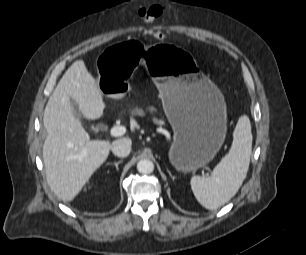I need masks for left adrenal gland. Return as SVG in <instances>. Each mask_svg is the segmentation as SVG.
I'll return each instance as SVG.
<instances>
[{
  "label": "left adrenal gland",
  "mask_w": 306,
  "mask_h": 255,
  "mask_svg": "<svg viewBox=\"0 0 306 255\" xmlns=\"http://www.w3.org/2000/svg\"><path fill=\"white\" fill-rule=\"evenodd\" d=\"M167 171H168L169 175L172 177L171 172L168 169H167Z\"/></svg>",
  "instance_id": "1"
}]
</instances>
